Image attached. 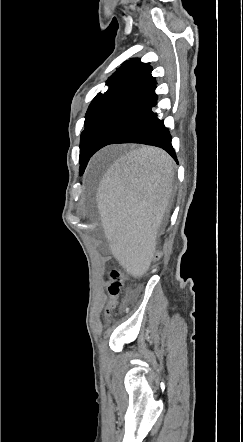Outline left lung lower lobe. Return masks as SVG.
<instances>
[{"label": "left lung lower lobe", "instance_id": "0a47b994", "mask_svg": "<svg viewBox=\"0 0 243 442\" xmlns=\"http://www.w3.org/2000/svg\"><path fill=\"white\" fill-rule=\"evenodd\" d=\"M156 81L150 74L140 85L116 103L100 122L88 143L83 159H89L101 148L116 143H141L157 146L178 163L172 147V136L155 110Z\"/></svg>", "mask_w": 243, "mask_h": 442}]
</instances>
